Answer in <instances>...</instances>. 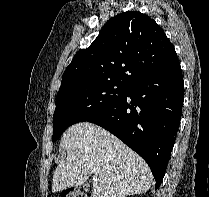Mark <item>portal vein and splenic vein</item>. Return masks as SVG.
I'll return each instance as SVG.
<instances>
[{"label":"portal vein and splenic vein","mask_w":209,"mask_h":197,"mask_svg":"<svg viewBox=\"0 0 209 197\" xmlns=\"http://www.w3.org/2000/svg\"><path fill=\"white\" fill-rule=\"evenodd\" d=\"M93 172H94L95 174H97V173H98V170H97V169H94Z\"/></svg>","instance_id":"portal-vein-and-splenic-vein-1"}]
</instances>
